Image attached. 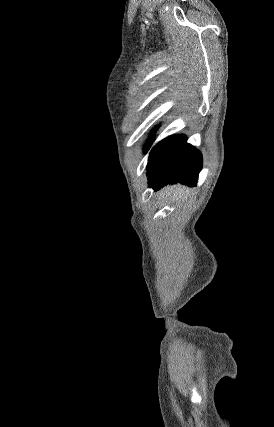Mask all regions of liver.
<instances>
[{"label":"liver","instance_id":"6515ba94","mask_svg":"<svg viewBox=\"0 0 274 427\" xmlns=\"http://www.w3.org/2000/svg\"><path fill=\"white\" fill-rule=\"evenodd\" d=\"M162 192L170 196L172 200H178V202H182L188 196V188L186 186H166Z\"/></svg>","mask_w":274,"mask_h":427}]
</instances>
